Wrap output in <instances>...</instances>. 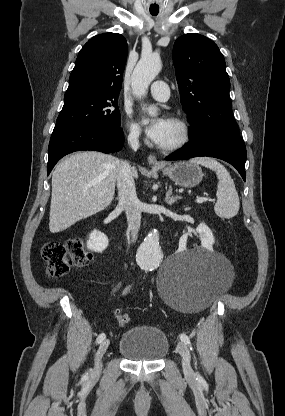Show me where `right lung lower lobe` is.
I'll return each instance as SVG.
<instances>
[{
	"label": "right lung lower lobe",
	"mask_w": 285,
	"mask_h": 416,
	"mask_svg": "<svg viewBox=\"0 0 285 416\" xmlns=\"http://www.w3.org/2000/svg\"><path fill=\"white\" fill-rule=\"evenodd\" d=\"M123 140L124 136L120 128H54L48 147V175L54 165L71 152L81 150H96L103 153L117 152L122 148Z\"/></svg>",
	"instance_id": "98d812e1"
}]
</instances>
